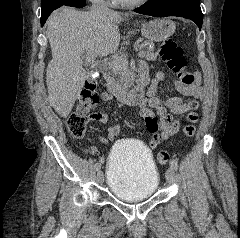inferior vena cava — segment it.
<instances>
[{"mask_svg": "<svg viewBox=\"0 0 240 238\" xmlns=\"http://www.w3.org/2000/svg\"><path fill=\"white\" fill-rule=\"evenodd\" d=\"M91 2V13L102 14L110 11L104 0H91Z\"/></svg>", "mask_w": 240, "mask_h": 238, "instance_id": "inferior-vena-cava-1", "label": "inferior vena cava"}]
</instances>
